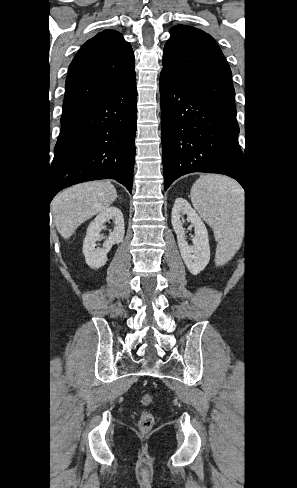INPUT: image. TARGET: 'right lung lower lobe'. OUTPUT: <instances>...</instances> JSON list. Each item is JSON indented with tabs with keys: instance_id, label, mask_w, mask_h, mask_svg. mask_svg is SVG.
<instances>
[{
	"instance_id": "right-lung-lower-lobe-1",
	"label": "right lung lower lobe",
	"mask_w": 297,
	"mask_h": 488,
	"mask_svg": "<svg viewBox=\"0 0 297 488\" xmlns=\"http://www.w3.org/2000/svg\"><path fill=\"white\" fill-rule=\"evenodd\" d=\"M135 76L107 95L61 117L50 169V201L73 184L115 179L131 193L137 120Z\"/></svg>"
}]
</instances>
